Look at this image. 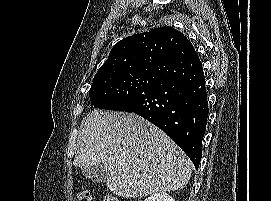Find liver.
<instances>
[{
	"label": "liver",
	"mask_w": 271,
	"mask_h": 201,
	"mask_svg": "<svg viewBox=\"0 0 271 201\" xmlns=\"http://www.w3.org/2000/svg\"><path fill=\"white\" fill-rule=\"evenodd\" d=\"M100 163L108 189L124 198L180 190L192 172L187 155L157 126L133 113L94 110L81 124L73 164Z\"/></svg>",
	"instance_id": "6515ba94"
}]
</instances>
